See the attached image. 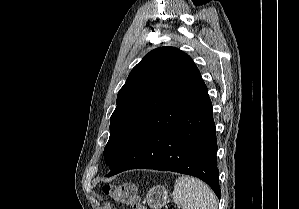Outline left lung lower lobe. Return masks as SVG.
Listing matches in <instances>:
<instances>
[{
    "instance_id": "left-lung-lower-lobe-1",
    "label": "left lung lower lobe",
    "mask_w": 299,
    "mask_h": 209,
    "mask_svg": "<svg viewBox=\"0 0 299 209\" xmlns=\"http://www.w3.org/2000/svg\"><path fill=\"white\" fill-rule=\"evenodd\" d=\"M212 103L199 74L145 124L107 177L149 168L192 175L220 199Z\"/></svg>"
}]
</instances>
